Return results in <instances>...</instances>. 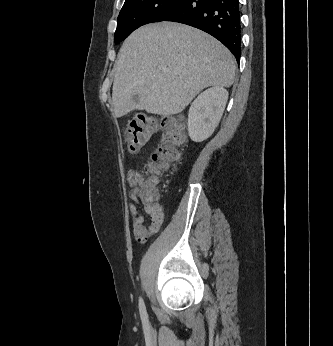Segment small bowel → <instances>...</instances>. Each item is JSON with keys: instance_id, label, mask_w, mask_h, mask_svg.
I'll return each instance as SVG.
<instances>
[{"instance_id": "c3829d8e", "label": "small bowel", "mask_w": 333, "mask_h": 346, "mask_svg": "<svg viewBox=\"0 0 333 346\" xmlns=\"http://www.w3.org/2000/svg\"><path fill=\"white\" fill-rule=\"evenodd\" d=\"M141 181L142 175L138 170L131 169L128 172L129 198L132 201L129 205V212L132 218L133 235L138 242L144 243L148 238L159 232L163 224L164 213L163 207L158 201L142 196L140 192ZM140 204L143 205L149 216L148 225H145V218L138 209Z\"/></svg>"}]
</instances>
